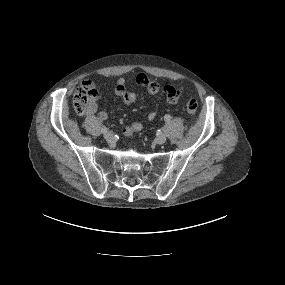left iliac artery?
I'll list each match as a JSON object with an SVG mask.
<instances>
[{
    "instance_id": "1",
    "label": "left iliac artery",
    "mask_w": 285,
    "mask_h": 285,
    "mask_svg": "<svg viewBox=\"0 0 285 285\" xmlns=\"http://www.w3.org/2000/svg\"><path fill=\"white\" fill-rule=\"evenodd\" d=\"M164 119H165L166 122H168V121H170L171 116L167 114V115L164 116ZM159 131H160V130H159ZM160 134H162V133H159V135H160Z\"/></svg>"
}]
</instances>
